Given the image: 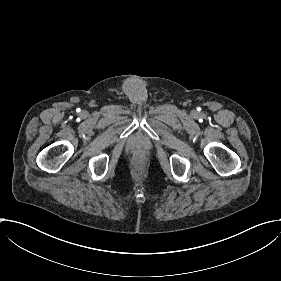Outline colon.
Masks as SVG:
<instances>
[{
	"mask_svg": "<svg viewBox=\"0 0 281 281\" xmlns=\"http://www.w3.org/2000/svg\"><path fill=\"white\" fill-rule=\"evenodd\" d=\"M130 164L134 170L142 171L146 168L147 161L142 155L136 154L131 158Z\"/></svg>",
	"mask_w": 281,
	"mask_h": 281,
	"instance_id": "obj_1",
	"label": "colon"
}]
</instances>
